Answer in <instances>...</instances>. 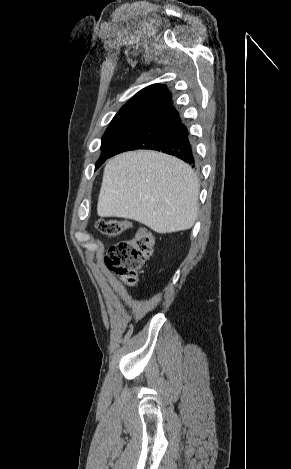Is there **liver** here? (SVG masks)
Listing matches in <instances>:
<instances>
[{
    "mask_svg": "<svg viewBox=\"0 0 291 469\" xmlns=\"http://www.w3.org/2000/svg\"><path fill=\"white\" fill-rule=\"evenodd\" d=\"M199 183L183 161L155 151L108 160L98 197L100 217L135 220L157 233L190 229L198 215Z\"/></svg>",
    "mask_w": 291,
    "mask_h": 469,
    "instance_id": "liver-1",
    "label": "liver"
}]
</instances>
